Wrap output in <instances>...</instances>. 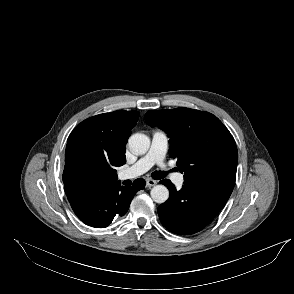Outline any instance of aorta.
Segmentation results:
<instances>
[{"instance_id":"1","label":"aorta","mask_w":294,"mask_h":294,"mask_svg":"<svg viewBox=\"0 0 294 294\" xmlns=\"http://www.w3.org/2000/svg\"><path fill=\"white\" fill-rule=\"evenodd\" d=\"M130 150L136 155L145 154L150 147V139L142 133H135L128 140ZM151 197L156 203H164L169 198V191L164 185H156L151 189Z\"/></svg>"}]
</instances>
